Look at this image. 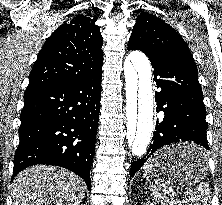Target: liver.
<instances>
[{
    "label": "liver",
    "mask_w": 222,
    "mask_h": 205,
    "mask_svg": "<svg viewBox=\"0 0 222 205\" xmlns=\"http://www.w3.org/2000/svg\"><path fill=\"white\" fill-rule=\"evenodd\" d=\"M85 190L84 181L69 170L36 165L14 179L13 205H80Z\"/></svg>",
    "instance_id": "1"
}]
</instances>
